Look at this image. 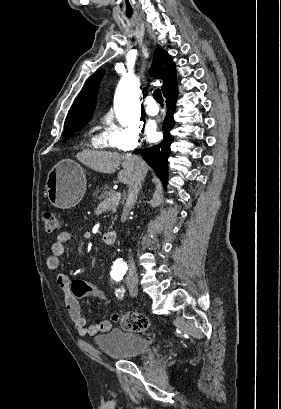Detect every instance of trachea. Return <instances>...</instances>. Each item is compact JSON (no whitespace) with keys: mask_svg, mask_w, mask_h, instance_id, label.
Returning a JSON list of instances; mask_svg holds the SVG:
<instances>
[{"mask_svg":"<svg viewBox=\"0 0 281 409\" xmlns=\"http://www.w3.org/2000/svg\"><path fill=\"white\" fill-rule=\"evenodd\" d=\"M153 98L156 100V102H159V103L163 102V96L159 88H156V90H154Z\"/></svg>","mask_w":281,"mask_h":409,"instance_id":"trachea-1","label":"trachea"}]
</instances>
